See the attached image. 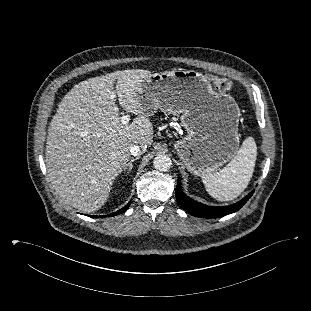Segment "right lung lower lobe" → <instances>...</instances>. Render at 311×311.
I'll return each instance as SVG.
<instances>
[{
  "instance_id": "98d812e1",
  "label": "right lung lower lobe",
  "mask_w": 311,
  "mask_h": 311,
  "mask_svg": "<svg viewBox=\"0 0 311 311\" xmlns=\"http://www.w3.org/2000/svg\"><path fill=\"white\" fill-rule=\"evenodd\" d=\"M129 205H130V202H129L125 207H123L122 209H120L119 211L114 212L113 214H110V216H116V215H118V214H120V213H123L124 211L127 210V208L129 207ZM91 217H92V216H91ZM93 217L98 218V217H102V216H93Z\"/></svg>"
}]
</instances>
